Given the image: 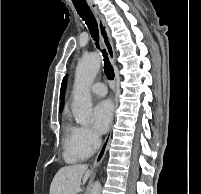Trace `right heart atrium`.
<instances>
[{"label": "right heart atrium", "mask_w": 201, "mask_h": 194, "mask_svg": "<svg viewBox=\"0 0 201 194\" xmlns=\"http://www.w3.org/2000/svg\"><path fill=\"white\" fill-rule=\"evenodd\" d=\"M100 143V136L93 129L86 126L73 127L71 146L75 152L89 156L99 148Z\"/></svg>", "instance_id": "right-heart-atrium-1"}]
</instances>
